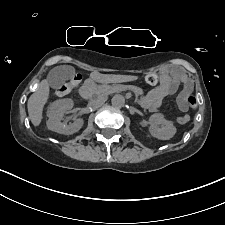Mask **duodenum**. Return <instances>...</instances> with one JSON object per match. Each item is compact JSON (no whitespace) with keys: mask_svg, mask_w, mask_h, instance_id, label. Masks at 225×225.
Segmentation results:
<instances>
[{"mask_svg":"<svg viewBox=\"0 0 225 225\" xmlns=\"http://www.w3.org/2000/svg\"><path fill=\"white\" fill-rule=\"evenodd\" d=\"M91 88H92V83H88L87 87H86V90H85L86 96H88L90 94Z\"/></svg>","mask_w":225,"mask_h":225,"instance_id":"duodenum-1","label":"duodenum"}]
</instances>
